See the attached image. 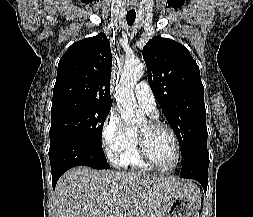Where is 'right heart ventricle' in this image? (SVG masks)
<instances>
[{
    "mask_svg": "<svg viewBox=\"0 0 253 217\" xmlns=\"http://www.w3.org/2000/svg\"><path fill=\"white\" fill-rule=\"evenodd\" d=\"M116 164L142 173H148L152 170L143 162L138 153L137 136L134 132H131V139L125 149L118 156Z\"/></svg>",
    "mask_w": 253,
    "mask_h": 217,
    "instance_id": "1",
    "label": "right heart ventricle"
}]
</instances>
